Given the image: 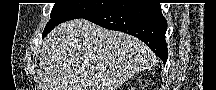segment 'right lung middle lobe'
Instances as JSON below:
<instances>
[{"label": "right lung middle lobe", "instance_id": "1", "mask_svg": "<svg viewBox=\"0 0 216 90\" xmlns=\"http://www.w3.org/2000/svg\"><path fill=\"white\" fill-rule=\"evenodd\" d=\"M112 5L113 4H55L51 12V19L42 33V38L62 22L94 15L106 10Z\"/></svg>", "mask_w": 216, "mask_h": 90}]
</instances>
